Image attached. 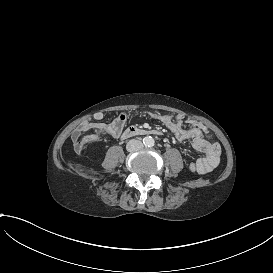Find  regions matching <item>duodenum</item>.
Instances as JSON below:
<instances>
[{
	"mask_svg": "<svg viewBox=\"0 0 273 273\" xmlns=\"http://www.w3.org/2000/svg\"><path fill=\"white\" fill-rule=\"evenodd\" d=\"M144 135H161V132L155 129H144L139 128L136 126L128 127L123 133H122V139H127L134 136H144Z\"/></svg>",
	"mask_w": 273,
	"mask_h": 273,
	"instance_id": "410a0bca",
	"label": "duodenum"
}]
</instances>
